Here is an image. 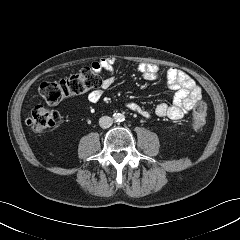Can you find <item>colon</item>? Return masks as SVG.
<instances>
[{
	"instance_id": "colon-1",
	"label": "colon",
	"mask_w": 240,
	"mask_h": 240,
	"mask_svg": "<svg viewBox=\"0 0 240 240\" xmlns=\"http://www.w3.org/2000/svg\"><path fill=\"white\" fill-rule=\"evenodd\" d=\"M99 84V78L90 68H83L69 76L45 81L40 85L39 92L49 104H57L70 96H77L94 89ZM61 121L57 111L43 105L35 106L28 118V125L35 133H41L56 126ZM206 123V105L199 102L192 110L190 125L195 131L200 130Z\"/></svg>"
}]
</instances>
